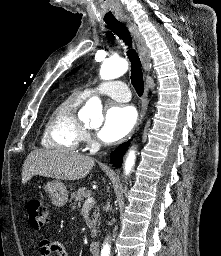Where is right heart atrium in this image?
Here are the masks:
<instances>
[{
	"instance_id": "right-heart-atrium-1",
	"label": "right heart atrium",
	"mask_w": 221,
	"mask_h": 256,
	"mask_svg": "<svg viewBox=\"0 0 221 256\" xmlns=\"http://www.w3.org/2000/svg\"><path fill=\"white\" fill-rule=\"evenodd\" d=\"M82 140L89 142L90 141V134L87 131H83Z\"/></svg>"
}]
</instances>
